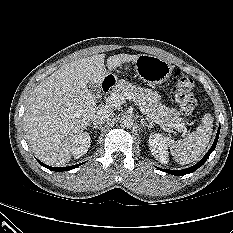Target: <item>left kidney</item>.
<instances>
[{
	"mask_svg": "<svg viewBox=\"0 0 233 233\" xmlns=\"http://www.w3.org/2000/svg\"><path fill=\"white\" fill-rule=\"evenodd\" d=\"M149 146L152 155L162 164L168 163V151L165 138L158 133L149 136Z\"/></svg>",
	"mask_w": 233,
	"mask_h": 233,
	"instance_id": "left-kidney-1",
	"label": "left kidney"
}]
</instances>
